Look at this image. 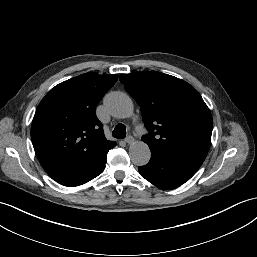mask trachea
Segmentation results:
<instances>
[{"instance_id": "1", "label": "trachea", "mask_w": 257, "mask_h": 257, "mask_svg": "<svg viewBox=\"0 0 257 257\" xmlns=\"http://www.w3.org/2000/svg\"><path fill=\"white\" fill-rule=\"evenodd\" d=\"M113 137L123 139L126 137V127L122 123H119L112 132Z\"/></svg>"}]
</instances>
